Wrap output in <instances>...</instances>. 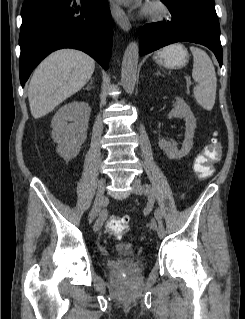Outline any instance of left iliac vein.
<instances>
[{
	"label": "left iliac vein",
	"mask_w": 245,
	"mask_h": 319,
	"mask_svg": "<svg viewBox=\"0 0 245 319\" xmlns=\"http://www.w3.org/2000/svg\"><path fill=\"white\" fill-rule=\"evenodd\" d=\"M132 187H133V191L138 194V195H144L145 194V190L143 187L142 182L139 179H134L133 183H132ZM151 228L153 230H157L158 231V236L159 237H163L164 235L159 231V229L157 228V222L155 219L151 220Z\"/></svg>",
	"instance_id": "left-iliac-vein-1"
}]
</instances>
